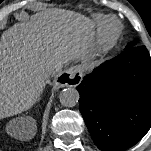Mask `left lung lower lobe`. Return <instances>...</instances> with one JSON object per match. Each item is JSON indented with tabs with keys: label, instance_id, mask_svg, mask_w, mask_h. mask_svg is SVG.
Instances as JSON below:
<instances>
[{
	"label": "left lung lower lobe",
	"instance_id": "1",
	"mask_svg": "<svg viewBox=\"0 0 151 151\" xmlns=\"http://www.w3.org/2000/svg\"><path fill=\"white\" fill-rule=\"evenodd\" d=\"M80 112L103 151H124L151 127V57L145 46L126 49L76 87Z\"/></svg>",
	"mask_w": 151,
	"mask_h": 151
}]
</instances>
